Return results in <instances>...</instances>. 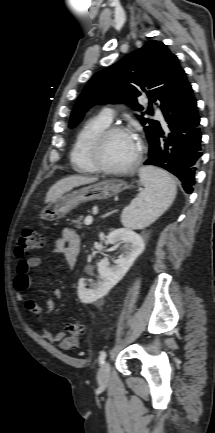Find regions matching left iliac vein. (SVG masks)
Listing matches in <instances>:
<instances>
[{
	"label": "left iliac vein",
	"instance_id": "1",
	"mask_svg": "<svg viewBox=\"0 0 215 433\" xmlns=\"http://www.w3.org/2000/svg\"><path fill=\"white\" fill-rule=\"evenodd\" d=\"M110 376V365L109 362L105 361L102 363L98 372V382L105 384L108 382Z\"/></svg>",
	"mask_w": 215,
	"mask_h": 433
}]
</instances>
